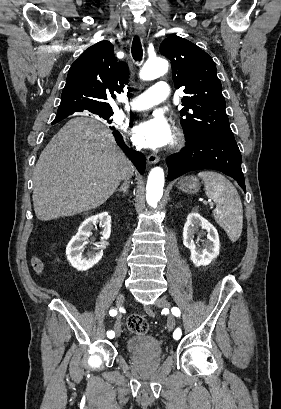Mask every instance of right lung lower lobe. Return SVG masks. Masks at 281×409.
I'll return each mask as SVG.
<instances>
[{"mask_svg":"<svg viewBox=\"0 0 281 409\" xmlns=\"http://www.w3.org/2000/svg\"><path fill=\"white\" fill-rule=\"evenodd\" d=\"M74 112H61V113H57L55 120L53 121L54 123L59 122L60 120L66 118L67 116L71 115ZM114 136H115V140L117 142V144L123 148L124 152L128 155V157L130 158V160L134 163V165L136 166V168L138 169V171L140 172V174H143L145 171V157L143 156L142 153L132 150L130 148H128L125 143L123 142L122 136L118 131H114L113 132Z\"/></svg>","mask_w":281,"mask_h":409,"instance_id":"98d812e1","label":"right lung lower lobe"}]
</instances>
